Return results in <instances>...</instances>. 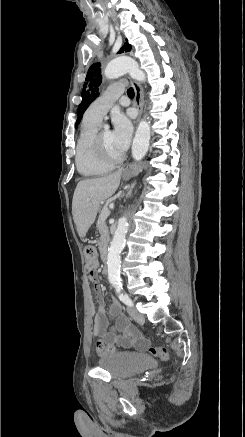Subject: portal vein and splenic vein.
<instances>
[{
	"mask_svg": "<svg viewBox=\"0 0 245 437\" xmlns=\"http://www.w3.org/2000/svg\"><path fill=\"white\" fill-rule=\"evenodd\" d=\"M109 214H110L109 209H108L107 207L104 208V210H103V212H102L103 217H104V218H107V217L109 216Z\"/></svg>",
	"mask_w": 245,
	"mask_h": 437,
	"instance_id": "portal-vein-and-splenic-vein-1",
	"label": "portal vein and splenic vein"
}]
</instances>
